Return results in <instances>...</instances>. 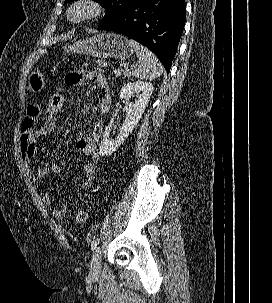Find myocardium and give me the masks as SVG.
Returning a JSON list of instances; mask_svg holds the SVG:
<instances>
[{"label":"myocardium","mask_w":272,"mask_h":303,"mask_svg":"<svg viewBox=\"0 0 272 303\" xmlns=\"http://www.w3.org/2000/svg\"><path fill=\"white\" fill-rule=\"evenodd\" d=\"M105 8L98 0H74L67 10V19L73 24H80L98 19Z\"/></svg>","instance_id":"f54148a6"}]
</instances>
